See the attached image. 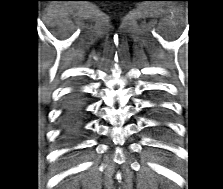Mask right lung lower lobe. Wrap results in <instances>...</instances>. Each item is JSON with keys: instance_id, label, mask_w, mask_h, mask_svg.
<instances>
[{"instance_id": "98d812e1", "label": "right lung lower lobe", "mask_w": 223, "mask_h": 189, "mask_svg": "<svg viewBox=\"0 0 223 189\" xmlns=\"http://www.w3.org/2000/svg\"><path fill=\"white\" fill-rule=\"evenodd\" d=\"M85 114L84 94L80 88L75 87L63 103L60 116L61 141L71 144L80 138L83 132Z\"/></svg>"}]
</instances>
